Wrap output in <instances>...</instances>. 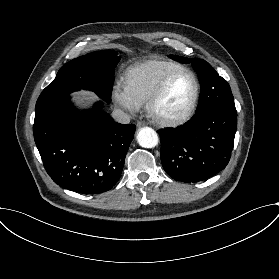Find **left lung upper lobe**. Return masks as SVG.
Instances as JSON below:
<instances>
[{"instance_id": "left-lung-upper-lobe-1", "label": "left lung upper lobe", "mask_w": 279, "mask_h": 279, "mask_svg": "<svg viewBox=\"0 0 279 279\" xmlns=\"http://www.w3.org/2000/svg\"><path fill=\"white\" fill-rule=\"evenodd\" d=\"M171 57L182 63H192L200 81V96L196 114L210 109H218L237 114L234 98L227 81L220 77L212 66L203 59H188L180 56Z\"/></svg>"}]
</instances>
